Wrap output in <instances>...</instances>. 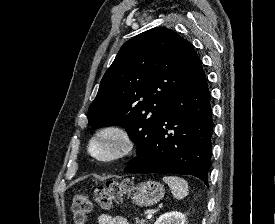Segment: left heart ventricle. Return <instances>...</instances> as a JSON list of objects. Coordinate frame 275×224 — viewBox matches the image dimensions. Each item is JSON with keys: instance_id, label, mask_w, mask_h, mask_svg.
Here are the masks:
<instances>
[{"instance_id": "obj_1", "label": "left heart ventricle", "mask_w": 275, "mask_h": 224, "mask_svg": "<svg viewBox=\"0 0 275 224\" xmlns=\"http://www.w3.org/2000/svg\"><path fill=\"white\" fill-rule=\"evenodd\" d=\"M114 146L115 142L111 138H104L95 144L94 150L100 155H108L113 152Z\"/></svg>"}]
</instances>
